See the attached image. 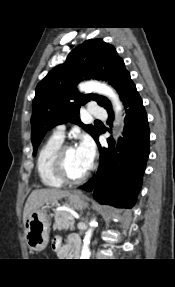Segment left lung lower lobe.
I'll use <instances>...</instances> for the list:
<instances>
[{
  "mask_svg": "<svg viewBox=\"0 0 175 287\" xmlns=\"http://www.w3.org/2000/svg\"><path fill=\"white\" fill-rule=\"evenodd\" d=\"M125 127L123 138L114 148L108 138L109 148H102L98 136L94 139L100 150V164L96 175L80 188L93 192L99 203L119 208H131L142 185V177L149 156V125L142 99L135 84L128 89L123 100ZM109 123L113 112L109 111ZM117 151V152H116Z\"/></svg>",
  "mask_w": 175,
  "mask_h": 287,
  "instance_id": "1",
  "label": "left lung lower lobe"
}]
</instances>
